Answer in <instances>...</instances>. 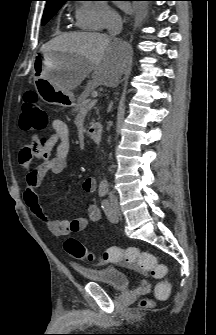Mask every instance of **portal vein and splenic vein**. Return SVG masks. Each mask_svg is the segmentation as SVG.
<instances>
[{
  "instance_id": "1",
  "label": "portal vein and splenic vein",
  "mask_w": 216,
  "mask_h": 335,
  "mask_svg": "<svg viewBox=\"0 0 216 335\" xmlns=\"http://www.w3.org/2000/svg\"><path fill=\"white\" fill-rule=\"evenodd\" d=\"M97 102H98V99H97V98L91 100V101L89 102V105H88L89 108H92L93 106H95Z\"/></svg>"
}]
</instances>
